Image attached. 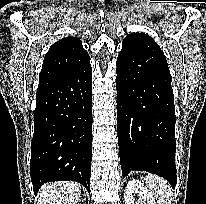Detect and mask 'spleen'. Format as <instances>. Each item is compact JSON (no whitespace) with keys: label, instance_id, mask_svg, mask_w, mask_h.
Listing matches in <instances>:
<instances>
[{"label":"spleen","instance_id":"obj_1","mask_svg":"<svg viewBox=\"0 0 206 204\" xmlns=\"http://www.w3.org/2000/svg\"><path fill=\"white\" fill-rule=\"evenodd\" d=\"M145 182L149 186L151 193L158 201V204L171 203V186L165 179L155 174H148L145 177Z\"/></svg>","mask_w":206,"mask_h":204}]
</instances>
